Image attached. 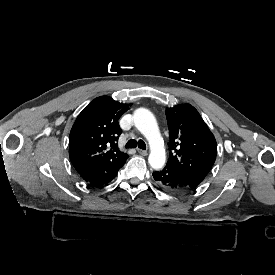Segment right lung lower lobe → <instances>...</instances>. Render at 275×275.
I'll list each match as a JSON object with an SVG mask.
<instances>
[{
    "mask_svg": "<svg viewBox=\"0 0 275 275\" xmlns=\"http://www.w3.org/2000/svg\"><path fill=\"white\" fill-rule=\"evenodd\" d=\"M125 162L126 160L122 163L104 162L77 172L86 182L101 186L112 181Z\"/></svg>",
    "mask_w": 275,
    "mask_h": 275,
    "instance_id": "1",
    "label": "right lung lower lobe"
}]
</instances>
